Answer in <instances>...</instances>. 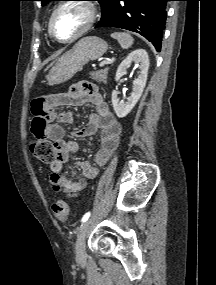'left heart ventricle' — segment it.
Wrapping results in <instances>:
<instances>
[{"instance_id": "left-heart-ventricle-1", "label": "left heart ventricle", "mask_w": 216, "mask_h": 285, "mask_svg": "<svg viewBox=\"0 0 216 285\" xmlns=\"http://www.w3.org/2000/svg\"><path fill=\"white\" fill-rule=\"evenodd\" d=\"M88 12L79 5H68L55 15L53 31L59 39H67L76 34L87 22Z\"/></svg>"}]
</instances>
